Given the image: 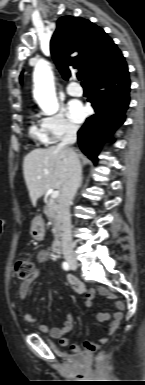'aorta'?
Returning a JSON list of instances; mask_svg holds the SVG:
<instances>
[{"instance_id": "aorta-1", "label": "aorta", "mask_w": 145, "mask_h": 385, "mask_svg": "<svg viewBox=\"0 0 145 385\" xmlns=\"http://www.w3.org/2000/svg\"><path fill=\"white\" fill-rule=\"evenodd\" d=\"M33 96L39 107L47 115H53L59 110L55 93V83L52 69L45 60L39 61L33 72Z\"/></svg>"}]
</instances>
